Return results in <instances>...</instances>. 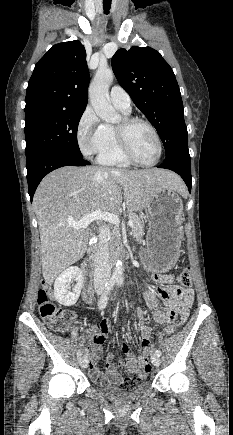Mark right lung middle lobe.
Wrapping results in <instances>:
<instances>
[{"instance_id": "right-lung-middle-lobe-1", "label": "right lung middle lobe", "mask_w": 233, "mask_h": 435, "mask_svg": "<svg viewBox=\"0 0 233 435\" xmlns=\"http://www.w3.org/2000/svg\"><path fill=\"white\" fill-rule=\"evenodd\" d=\"M84 111H47L25 117L26 157L42 150L82 156L77 129Z\"/></svg>"}]
</instances>
